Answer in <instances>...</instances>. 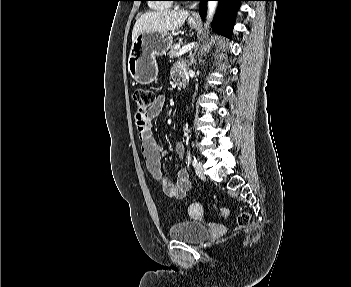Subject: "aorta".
Listing matches in <instances>:
<instances>
[{"instance_id": "762f6f07", "label": "aorta", "mask_w": 351, "mask_h": 287, "mask_svg": "<svg viewBox=\"0 0 351 287\" xmlns=\"http://www.w3.org/2000/svg\"><path fill=\"white\" fill-rule=\"evenodd\" d=\"M218 2L217 1H208L207 3V17H206V27L210 25L213 16L215 14Z\"/></svg>"}]
</instances>
